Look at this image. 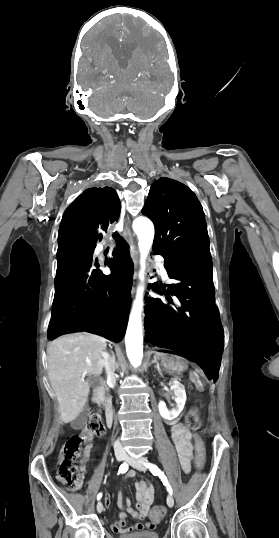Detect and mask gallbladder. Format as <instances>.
I'll list each match as a JSON object with an SVG mask.
<instances>
[{
    "label": "gallbladder",
    "mask_w": 279,
    "mask_h": 538,
    "mask_svg": "<svg viewBox=\"0 0 279 538\" xmlns=\"http://www.w3.org/2000/svg\"><path fill=\"white\" fill-rule=\"evenodd\" d=\"M90 385L92 387H99L101 385V378L99 376H92L90 378ZM78 418L79 419L74 420L75 426H80L81 424H83V422L87 421L89 418V415L86 411H82L79 413Z\"/></svg>",
    "instance_id": "gallbladder-1"
}]
</instances>
